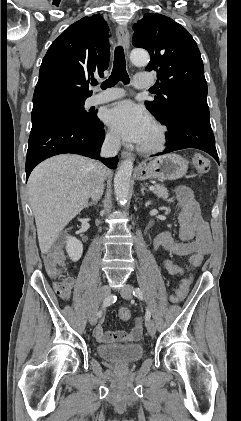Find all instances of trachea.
<instances>
[{"label": "trachea", "mask_w": 241, "mask_h": 421, "mask_svg": "<svg viewBox=\"0 0 241 421\" xmlns=\"http://www.w3.org/2000/svg\"><path fill=\"white\" fill-rule=\"evenodd\" d=\"M119 81L124 84L130 82L129 76L126 71V62L124 56V50L122 47H117L114 52V65L110 77L104 81L101 85L102 89L110 88L115 86ZM92 85H97V81H94Z\"/></svg>", "instance_id": "obj_1"}]
</instances>
